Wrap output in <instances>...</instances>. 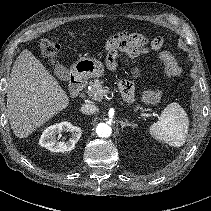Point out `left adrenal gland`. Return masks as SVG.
Listing matches in <instances>:
<instances>
[{"label":"left adrenal gland","instance_id":"left-adrenal-gland-1","mask_svg":"<svg viewBox=\"0 0 211 211\" xmlns=\"http://www.w3.org/2000/svg\"><path fill=\"white\" fill-rule=\"evenodd\" d=\"M120 124H121V128L124 129L125 127L127 126H131V127H134L135 124L134 123H130L128 120H120Z\"/></svg>","mask_w":211,"mask_h":211}]
</instances>
